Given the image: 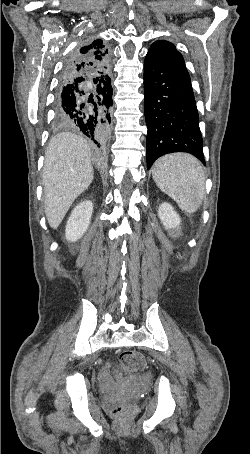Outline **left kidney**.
Wrapping results in <instances>:
<instances>
[{
  "label": "left kidney",
  "instance_id": "1",
  "mask_svg": "<svg viewBox=\"0 0 250 454\" xmlns=\"http://www.w3.org/2000/svg\"><path fill=\"white\" fill-rule=\"evenodd\" d=\"M158 216L166 230L180 226L181 219L169 203H162L158 209Z\"/></svg>",
  "mask_w": 250,
  "mask_h": 454
}]
</instances>
